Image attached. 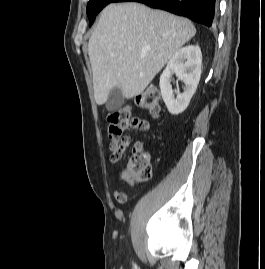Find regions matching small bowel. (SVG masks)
I'll use <instances>...</instances> for the list:
<instances>
[{
    "instance_id": "obj_1",
    "label": "small bowel",
    "mask_w": 265,
    "mask_h": 269,
    "mask_svg": "<svg viewBox=\"0 0 265 269\" xmlns=\"http://www.w3.org/2000/svg\"><path fill=\"white\" fill-rule=\"evenodd\" d=\"M144 123H145V127L142 129V131H147L149 129V123L146 120H144ZM128 144H122L118 140H112L109 143V150L111 152L110 159L112 162H117L121 159ZM114 197H115L116 201L120 204H124L127 200L126 195L122 192H119V191L114 192Z\"/></svg>"
}]
</instances>
